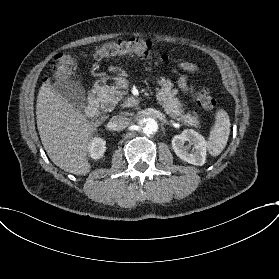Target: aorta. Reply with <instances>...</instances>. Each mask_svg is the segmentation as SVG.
Here are the masks:
<instances>
[{"instance_id": "1", "label": "aorta", "mask_w": 279, "mask_h": 279, "mask_svg": "<svg viewBox=\"0 0 279 279\" xmlns=\"http://www.w3.org/2000/svg\"><path fill=\"white\" fill-rule=\"evenodd\" d=\"M139 127L143 133L150 135L158 130L157 122L152 118H144L139 121Z\"/></svg>"}]
</instances>
